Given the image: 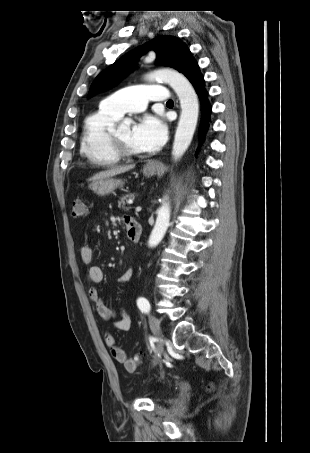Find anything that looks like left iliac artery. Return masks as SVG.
Wrapping results in <instances>:
<instances>
[{
  "label": "left iliac artery",
  "instance_id": "44dca946",
  "mask_svg": "<svg viewBox=\"0 0 310 453\" xmlns=\"http://www.w3.org/2000/svg\"><path fill=\"white\" fill-rule=\"evenodd\" d=\"M137 305L143 313H145V314L149 313L150 303L146 298H144V297L138 298Z\"/></svg>",
  "mask_w": 310,
  "mask_h": 453
}]
</instances>
